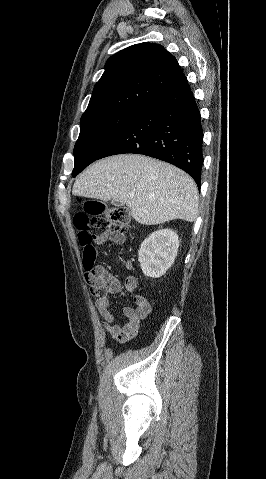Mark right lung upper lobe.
I'll list each match as a JSON object with an SVG mask.
<instances>
[{"instance_id": "obj_1", "label": "right lung upper lobe", "mask_w": 266, "mask_h": 479, "mask_svg": "<svg viewBox=\"0 0 266 479\" xmlns=\"http://www.w3.org/2000/svg\"><path fill=\"white\" fill-rule=\"evenodd\" d=\"M187 82L176 58L163 46L140 43L111 56L81 118L116 109H143Z\"/></svg>"}]
</instances>
